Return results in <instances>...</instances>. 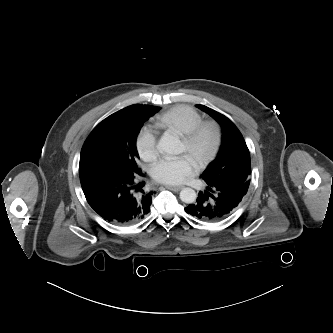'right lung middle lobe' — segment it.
Masks as SVG:
<instances>
[{"instance_id":"dd1d6c3e","label":"right lung middle lobe","mask_w":333,"mask_h":333,"mask_svg":"<svg viewBox=\"0 0 333 333\" xmlns=\"http://www.w3.org/2000/svg\"><path fill=\"white\" fill-rule=\"evenodd\" d=\"M160 107L135 104L100 122L86 139L80 155L79 175L91 172L131 177L141 172L136 160V137Z\"/></svg>"}]
</instances>
